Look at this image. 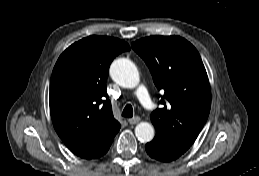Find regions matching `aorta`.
<instances>
[{
	"instance_id": "aorta-1",
	"label": "aorta",
	"mask_w": 259,
	"mask_h": 176,
	"mask_svg": "<svg viewBox=\"0 0 259 176\" xmlns=\"http://www.w3.org/2000/svg\"><path fill=\"white\" fill-rule=\"evenodd\" d=\"M110 76L120 86L130 89L135 88L140 80L135 64L126 58L113 61ZM135 135L141 142H150L155 135L154 127L148 122H140L135 127Z\"/></svg>"
}]
</instances>
